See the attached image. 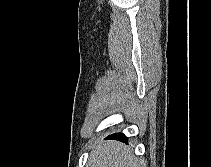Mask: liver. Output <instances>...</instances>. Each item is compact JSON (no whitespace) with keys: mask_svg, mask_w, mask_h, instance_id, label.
Instances as JSON below:
<instances>
[{"mask_svg":"<svg viewBox=\"0 0 211 167\" xmlns=\"http://www.w3.org/2000/svg\"><path fill=\"white\" fill-rule=\"evenodd\" d=\"M142 164L126 145L108 141L93 148L87 167H141Z\"/></svg>","mask_w":211,"mask_h":167,"instance_id":"obj_1","label":"liver"}]
</instances>
